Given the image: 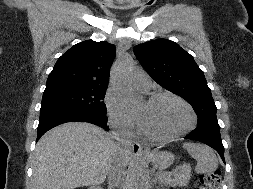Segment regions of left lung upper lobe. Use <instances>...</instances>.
Segmentation results:
<instances>
[{"label":"left lung upper lobe","instance_id":"left-lung-upper-lobe-1","mask_svg":"<svg viewBox=\"0 0 253 189\" xmlns=\"http://www.w3.org/2000/svg\"><path fill=\"white\" fill-rule=\"evenodd\" d=\"M134 54L155 82L191 104L197 126H219L204 73L188 52L173 41L157 39L135 46Z\"/></svg>","mask_w":253,"mask_h":189}]
</instances>
